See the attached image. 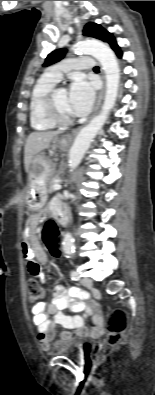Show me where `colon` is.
Wrapping results in <instances>:
<instances>
[{"mask_svg":"<svg viewBox=\"0 0 155 395\" xmlns=\"http://www.w3.org/2000/svg\"><path fill=\"white\" fill-rule=\"evenodd\" d=\"M61 228L60 223H47L43 229V241L46 251L50 256H61L62 251L58 245L62 244L61 235L58 234ZM55 271L59 270L58 266L54 267ZM28 300L31 303H38L45 297L44 288L36 281L27 282ZM128 316L125 310L116 309L111 312L107 322V344L110 347L118 345L126 330Z\"/></svg>","mask_w":155,"mask_h":395,"instance_id":"1","label":"colon"}]
</instances>
